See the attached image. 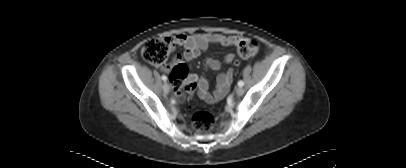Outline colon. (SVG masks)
I'll return each instance as SVG.
<instances>
[{
    "instance_id": "colon-1",
    "label": "colon",
    "mask_w": 406,
    "mask_h": 168,
    "mask_svg": "<svg viewBox=\"0 0 406 168\" xmlns=\"http://www.w3.org/2000/svg\"><path fill=\"white\" fill-rule=\"evenodd\" d=\"M259 43L256 40L249 42L241 41L238 46V56L241 59H247L255 56L259 52ZM172 50V41L169 38L153 39L146 43L141 55L144 60L154 65L163 64ZM189 69L185 64H178L172 70L174 97L179 102H184L189 98L190 93L195 89L196 84L182 83L186 79ZM193 128L201 134H209L215 125V118L206 111H200L192 117Z\"/></svg>"
}]
</instances>
